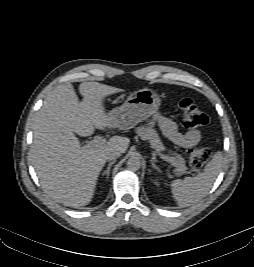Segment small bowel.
I'll list each match as a JSON object with an SVG mask.
<instances>
[{
	"instance_id": "obj_1",
	"label": "small bowel",
	"mask_w": 254,
	"mask_h": 267,
	"mask_svg": "<svg viewBox=\"0 0 254 267\" xmlns=\"http://www.w3.org/2000/svg\"><path fill=\"white\" fill-rule=\"evenodd\" d=\"M154 119L158 122L163 133L176 145L190 148L199 143L201 134L198 130H189L187 132H179L176 124L169 118L162 115H156Z\"/></svg>"
}]
</instances>
